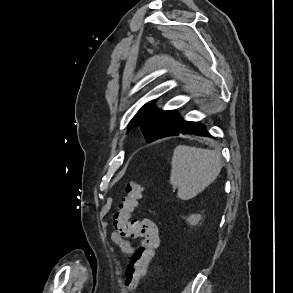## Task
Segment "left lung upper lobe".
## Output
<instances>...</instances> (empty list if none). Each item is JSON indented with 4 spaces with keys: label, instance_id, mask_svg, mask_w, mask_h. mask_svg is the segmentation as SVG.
<instances>
[{
    "label": "left lung upper lobe",
    "instance_id": "1",
    "mask_svg": "<svg viewBox=\"0 0 293 293\" xmlns=\"http://www.w3.org/2000/svg\"><path fill=\"white\" fill-rule=\"evenodd\" d=\"M181 118L176 110L162 111L154 108L153 101L145 104L134 116L129 125V130L137 125L147 142H152L158 138L166 136L168 132L175 128Z\"/></svg>",
    "mask_w": 293,
    "mask_h": 293
}]
</instances>
